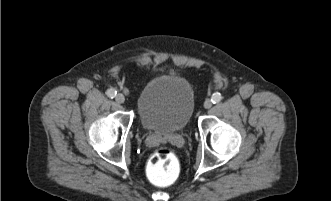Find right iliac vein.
Returning a JSON list of instances; mask_svg holds the SVG:
<instances>
[{"mask_svg": "<svg viewBox=\"0 0 331 201\" xmlns=\"http://www.w3.org/2000/svg\"><path fill=\"white\" fill-rule=\"evenodd\" d=\"M115 100H116L117 103L122 104V103H124V101H125V97H124L123 94L118 93V94L116 95Z\"/></svg>", "mask_w": 331, "mask_h": 201, "instance_id": "1", "label": "right iliac vein"}]
</instances>
